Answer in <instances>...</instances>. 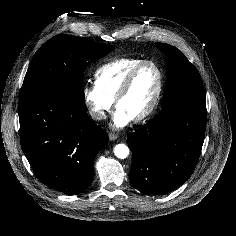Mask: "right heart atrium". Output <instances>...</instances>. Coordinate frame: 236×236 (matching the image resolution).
I'll list each match as a JSON object with an SVG mask.
<instances>
[{
    "label": "right heart atrium",
    "mask_w": 236,
    "mask_h": 236,
    "mask_svg": "<svg viewBox=\"0 0 236 236\" xmlns=\"http://www.w3.org/2000/svg\"><path fill=\"white\" fill-rule=\"evenodd\" d=\"M83 101L90 116L96 121H103L113 106V100L108 98L94 83H88L82 90Z\"/></svg>",
    "instance_id": "obj_1"
}]
</instances>
